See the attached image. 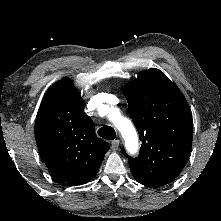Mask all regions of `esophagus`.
<instances>
[{
	"instance_id": "34e87169",
	"label": "esophagus",
	"mask_w": 221,
	"mask_h": 221,
	"mask_svg": "<svg viewBox=\"0 0 221 221\" xmlns=\"http://www.w3.org/2000/svg\"><path fill=\"white\" fill-rule=\"evenodd\" d=\"M120 141L118 139L111 142V149L116 151L119 148Z\"/></svg>"
}]
</instances>
